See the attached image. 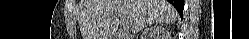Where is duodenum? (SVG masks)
<instances>
[{
	"mask_svg": "<svg viewBox=\"0 0 249 39\" xmlns=\"http://www.w3.org/2000/svg\"><path fill=\"white\" fill-rule=\"evenodd\" d=\"M116 38H118V39H122V36H120V35H119V36H117Z\"/></svg>",
	"mask_w": 249,
	"mask_h": 39,
	"instance_id": "duodenum-1",
	"label": "duodenum"
}]
</instances>
